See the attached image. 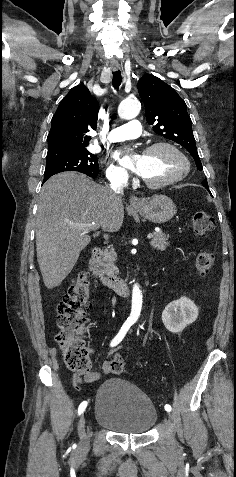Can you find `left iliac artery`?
Listing matches in <instances>:
<instances>
[{"label":"left iliac artery","mask_w":236,"mask_h":477,"mask_svg":"<svg viewBox=\"0 0 236 477\" xmlns=\"http://www.w3.org/2000/svg\"><path fill=\"white\" fill-rule=\"evenodd\" d=\"M164 408H165V410H167V409H168V410H170V411H171V409H172V408H171V406H170L169 404H166Z\"/></svg>","instance_id":"1"}]
</instances>
